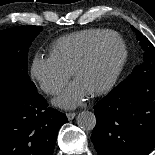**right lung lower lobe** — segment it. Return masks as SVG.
<instances>
[{"label":"right lung lower lobe","mask_w":155,"mask_h":155,"mask_svg":"<svg viewBox=\"0 0 155 155\" xmlns=\"http://www.w3.org/2000/svg\"><path fill=\"white\" fill-rule=\"evenodd\" d=\"M66 121L37 92L27 103L0 100V155H52Z\"/></svg>","instance_id":"right-lung-lower-lobe-1"}]
</instances>
